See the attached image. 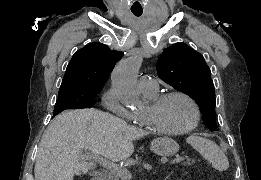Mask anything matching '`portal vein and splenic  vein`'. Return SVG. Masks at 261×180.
Listing matches in <instances>:
<instances>
[{
	"instance_id": "portal-vein-and-splenic-vein-1",
	"label": "portal vein and splenic vein",
	"mask_w": 261,
	"mask_h": 180,
	"mask_svg": "<svg viewBox=\"0 0 261 180\" xmlns=\"http://www.w3.org/2000/svg\"><path fill=\"white\" fill-rule=\"evenodd\" d=\"M83 150H87V148H83ZM90 160L92 162H103V164H108L109 170H112L114 174H117L121 180H132V174L127 170V168H118L116 164H113V162H107V160H102V158H99V156H96V154H90ZM183 162V159L181 158H173L171 163H169V166L177 165L178 163Z\"/></svg>"
}]
</instances>
